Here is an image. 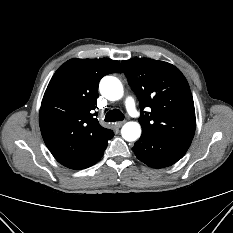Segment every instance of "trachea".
I'll return each mask as SVG.
<instances>
[{
  "instance_id": "trachea-1",
  "label": "trachea",
  "mask_w": 233,
  "mask_h": 233,
  "mask_svg": "<svg viewBox=\"0 0 233 233\" xmlns=\"http://www.w3.org/2000/svg\"><path fill=\"white\" fill-rule=\"evenodd\" d=\"M121 120H124V115L118 109L110 110L105 116L106 122H115V121H121Z\"/></svg>"
}]
</instances>
